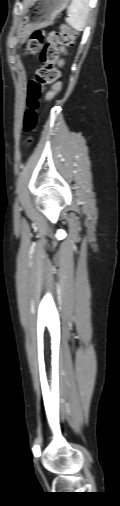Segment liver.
<instances>
[{
  "label": "liver",
  "instance_id": "obj_1",
  "mask_svg": "<svg viewBox=\"0 0 120 506\" xmlns=\"http://www.w3.org/2000/svg\"><path fill=\"white\" fill-rule=\"evenodd\" d=\"M31 1H32V0H25V1H24L25 6L29 5V4L31 3Z\"/></svg>",
  "mask_w": 120,
  "mask_h": 506
}]
</instances>
